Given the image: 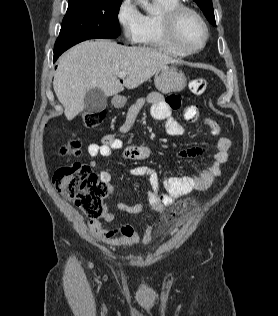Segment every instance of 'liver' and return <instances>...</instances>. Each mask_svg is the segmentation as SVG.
<instances>
[{
    "mask_svg": "<svg viewBox=\"0 0 278 316\" xmlns=\"http://www.w3.org/2000/svg\"><path fill=\"white\" fill-rule=\"evenodd\" d=\"M177 63L152 48L127 47L109 40L84 41L59 59L53 87L68 120L84 110L85 94L92 88L113 96L134 89L165 65ZM126 72L120 82L118 74Z\"/></svg>",
    "mask_w": 278,
    "mask_h": 316,
    "instance_id": "6515ba94",
    "label": "liver"
}]
</instances>
